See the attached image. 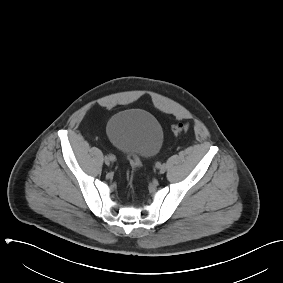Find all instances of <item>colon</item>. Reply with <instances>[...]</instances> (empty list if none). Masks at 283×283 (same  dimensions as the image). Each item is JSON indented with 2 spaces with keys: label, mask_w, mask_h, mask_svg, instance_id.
I'll return each mask as SVG.
<instances>
[{
  "label": "colon",
  "mask_w": 283,
  "mask_h": 283,
  "mask_svg": "<svg viewBox=\"0 0 283 283\" xmlns=\"http://www.w3.org/2000/svg\"><path fill=\"white\" fill-rule=\"evenodd\" d=\"M189 126L186 123H178L172 126L171 130L173 132V134L175 135H179L182 134L184 132H186L188 130ZM128 160L130 162L131 167L134 170H138L141 166V161L140 158L136 155H129L128 156Z\"/></svg>",
  "instance_id": "colon-1"
}]
</instances>
